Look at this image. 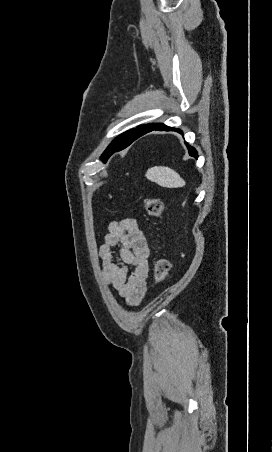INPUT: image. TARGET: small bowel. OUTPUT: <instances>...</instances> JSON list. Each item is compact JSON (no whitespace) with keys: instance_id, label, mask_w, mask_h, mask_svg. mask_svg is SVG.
<instances>
[{"instance_id":"c3829d8e","label":"small bowel","mask_w":272,"mask_h":452,"mask_svg":"<svg viewBox=\"0 0 272 452\" xmlns=\"http://www.w3.org/2000/svg\"><path fill=\"white\" fill-rule=\"evenodd\" d=\"M149 255L148 239L136 219L114 220L109 224L99 247L102 277L131 306L138 305L147 291Z\"/></svg>"}]
</instances>
